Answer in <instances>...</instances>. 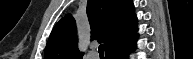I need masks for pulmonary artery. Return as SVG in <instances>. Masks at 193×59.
<instances>
[{
	"label": "pulmonary artery",
	"mask_w": 193,
	"mask_h": 59,
	"mask_svg": "<svg viewBox=\"0 0 193 59\" xmlns=\"http://www.w3.org/2000/svg\"><path fill=\"white\" fill-rule=\"evenodd\" d=\"M87 56L89 59H96L97 58V54H96L95 50H90Z\"/></svg>",
	"instance_id": "e3ab8cb5"
}]
</instances>
